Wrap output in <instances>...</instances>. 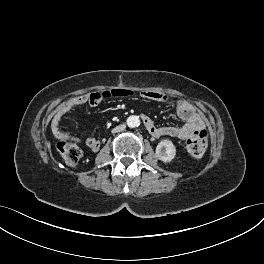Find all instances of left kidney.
Segmentation results:
<instances>
[{"instance_id":"5707ae66","label":"left kidney","mask_w":264,"mask_h":264,"mask_svg":"<svg viewBox=\"0 0 264 264\" xmlns=\"http://www.w3.org/2000/svg\"><path fill=\"white\" fill-rule=\"evenodd\" d=\"M156 155L163 162H170L175 158L176 147L172 141L164 139L156 147Z\"/></svg>"}]
</instances>
